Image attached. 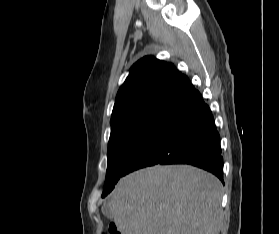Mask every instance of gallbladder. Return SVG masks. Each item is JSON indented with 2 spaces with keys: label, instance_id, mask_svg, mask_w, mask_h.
<instances>
[{
  "label": "gallbladder",
  "instance_id": "1",
  "mask_svg": "<svg viewBox=\"0 0 279 234\" xmlns=\"http://www.w3.org/2000/svg\"><path fill=\"white\" fill-rule=\"evenodd\" d=\"M106 205V204H105ZM104 205V207L102 208V212L104 213V215L109 218L112 219L113 218V214L108 210V208Z\"/></svg>",
  "mask_w": 279,
  "mask_h": 234
}]
</instances>
